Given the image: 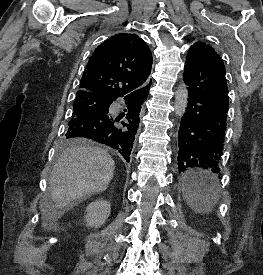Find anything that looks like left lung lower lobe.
I'll list each match as a JSON object with an SVG mask.
<instances>
[{
  "label": "left lung lower lobe",
  "instance_id": "1",
  "mask_svg": "<svg viewBox=\"0 0 263 275\" xmlns=\"http://www.w3.org/2000/svg\"><path fill=\"white\" fill-rule=\"evenodd\" d=\"M184 81L189 98L178 132L179 173L207 186L220 171L224 146L229 105L225 66L217 53L190 51Z\"/></svg>",
  "mask_w": 263,
  "mask_h": 275
}]
</instances>
